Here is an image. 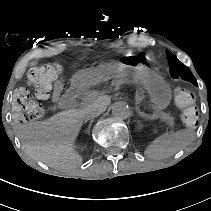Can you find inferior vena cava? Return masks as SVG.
Returning <instances> with one entry per match:
<instances>
[{
	"label": "inferior vena cava",
	"instance_id": "602c4592",
	"mask_svg": "<svg viewBox=\"0 0 211 211\" xmlns=\"http://www.w3.org/2000/svg\"><path fill=\"white\" fill-rule=\"evenodd\" d=\"M104 111L105 107L97 101H94L92 104L81 109L79 113L80 116L87 121L89 119L99 116Z\"/></svg>",
	"mask_w": 211,
	"mask_h": 211
}]
</instances>
